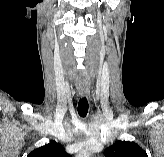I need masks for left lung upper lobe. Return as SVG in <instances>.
<instances>
[{
    "mask_svg": "<svg viewBox=\"0 0 164 157\" xmlns=\"http://www.w3.org/2000/svg\"><path fill=\"white\" fill-rule=\"evenodd\" d=\"M105 157H148L134 142L117 141L104 151Z\"/></svg>",
    "mask_w": 164,
    "mask_h": 157,
    "instance_id": "5c2ea615",
    "label": "left lung upper lobe"
}]
</instances>
